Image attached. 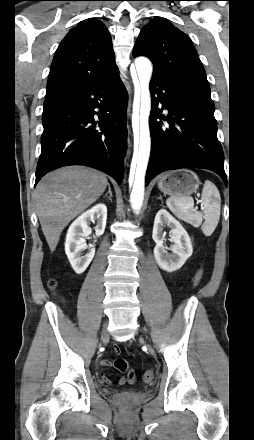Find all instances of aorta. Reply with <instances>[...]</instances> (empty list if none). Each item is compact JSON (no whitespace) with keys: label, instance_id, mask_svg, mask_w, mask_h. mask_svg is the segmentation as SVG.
Instances as JSON below:
<instances>
[{"label":"aorta","instance_id":"1","mask_svg":"<svg viewBox=\"0 0 254 440\" xmlns=\"http://www.w3.org/2000/svg\"><path fill=\"white\" fill-rule=\"evenodd\" d=\"M135 67L140 81V99L133 104L132 126L134 131V154L129 176L132 186L131 206L135 213L141 210L144 200L145 174L150 156L151 138L148 118L151 110L149 82L152 75V64L146 57L135 59Z\"/></svg>","mask_w":254,"mask_h":440}]
</instances>
